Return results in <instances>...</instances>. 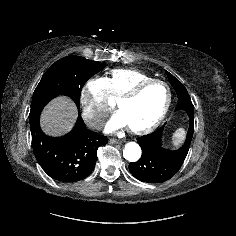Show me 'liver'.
Masks as SVG:
<instances>
[{
  "label": "liver",
  "mask_w": 236,
  "mask_h": 236,
  "mask_svg": "<svg viewBox=\"0 0 236 236\" xmlns=\"http://www.w3.org/2000/svg\"><path fill=\"white\" fill-rule=\"evenodd\" d=\"M77 114V107L70 98L57 97L42 112V129L46 134L52 136L66 134L73 128Z\"/></svg>",
  "instance_id": "liver-1"
}]
</instances>
